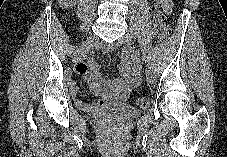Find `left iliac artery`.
<instances>
[{
  "label": "left iliac artery",
  "mask_w": 227,
  "mask_h": 157,
  "mask_svg": "<svg viewBox=\"0 0 227 157\" xmlns=\"http://www.w3.org/2000/svg\"><path fill=\"white\" fill-rule=\"evenodd\" d=\"M133 37H136L138 41H141L142 40V37L140 34H138V32H133ZM141 45V50H142V54L144 56L145 59H147V61H149V56H148V50L147 48L145 47L144 43H140Z\"/></svg>",
  "instance_id": "44dca946"
}]
</instances>
